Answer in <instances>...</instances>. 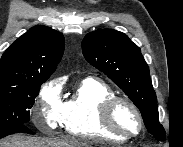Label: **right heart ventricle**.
Returning a JSON list of instances; mask_svg holds the SVG:
<instances>
[{
  "label": "right heart ventricle",
  "instance_id": "1",
  "mask_svg": "<svg viewBox=\"0 0 183 147\" xmlns=\"http://www.w3.org/2000/svg\"><path fill=\"white\" fill-rule=\"evenodd\" d=\"M104 82L92 77L82 80L64 102L62 125L67 134L82 139L124 141L105 129L99 118L100 104L114 96Z\"/></svg>",
  "mask_w": 183,
  "mask_h": 147
}]
</instances>
